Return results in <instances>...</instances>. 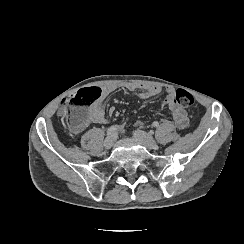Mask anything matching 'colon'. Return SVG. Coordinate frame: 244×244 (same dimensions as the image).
<instances>
[{
  "label": "colon",
  "instance_id": "1",
  "mask_svg": "<svg viewBox=\"0 0 244 244\" xmlns=\"http://www.w3.org/2000/svg\"><path fill=\"white\" fill-rule=\"evenodd\" d=\"M101 97V90L96 85H89L78 92H73L68 97V104L61 103L59 115L62 117L67 127L74 131H81L86 126L88 105L98 101ZM171 104L191 107L194 104L193 95L185 89L176 90L171 99Z\"/></svg>",
  "mask_w": 244,
  "mask_h": 244
}]
</instances>
